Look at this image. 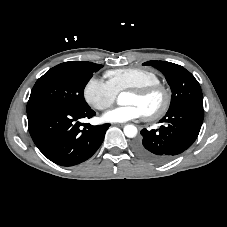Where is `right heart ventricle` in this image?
<instances>
[{
    "mask_svg": "<svg viewBox=\"0 0 227 227\" xmlns=\"http://www.w3.org/2000/svg\"><path fill=\"white\" fill-rule=\"evenodd\" d=\"M105 77L116 94L131 88L159 83V77L154 72L143 68L109 70L105 73Z\"/></svg>",
    "mask_w": 227,
    "mask_h": 227,
    "instance_id": "1",
    "label": "right heart ventricle"
}]
</instances>
